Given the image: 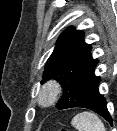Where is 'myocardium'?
Masks as SVG:
<instances>
[{
  "label": "myocardium",
  "mask_w": 117,
  "mask_h": 131,
  "mask_svg": "<svg viewBox=\"0 0 117 131\" xmlns=\"http://www.w3.org/2000/svg\"><path fill=\"white\" fill-rule=\"evenodd\" d=\"M62 91L61 84L49 81L44 84L36 95V102L42 108L51 107L56 103Z\"/></svg>",
  "instance_id": "1"
}]
</instances>
